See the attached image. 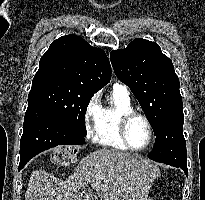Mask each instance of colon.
I'll use <instances>...</instances> for the list:
<instances>
[{"instance_id":"colon-1","label":"colon","mask_w":205,"mask_h":200,"mask_svg":"<svg viewBox=\"0 0 205 200\" xmlns=\"http://www.w3.org/2000/svg\"><path fill=\"white\" fill-rule=\"evenodd\" d=\"M77 151L73 148H65L55 152L51 160L53 164L59 167H66L75 162Z\"/></svg>"}]
</instances>
